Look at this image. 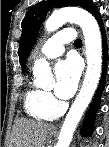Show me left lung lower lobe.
Returning a JSON list of instances; mask_svg holds the SVG:
<instances>
[{"label": "left lung lower lobe", "mask_w": 109, "mask_h": 147, "mask_svg": "<svg viewBox=\"0 0 109 147\" xmlns=\"http://www.w3.org/2000/svg\"><path fill=\"white\" fill-rule=\"evenodd\" d=\"M91 14L94 15V17L96 18V20L98 21L100 27H101V32H102V38H103V60H104V69H103V74L101 77V81L99 83V87L97 90V94L95 96V99L90 107V109L88 110L86 117H85V121L83 124V128L81 131V134L83 136H87L89 137L92 133V128H93V123H94V117H95V112L99 107L100 104V97H101V93L104 89V83H105V75H106V61H107V41H106V35H105V31L103 28V22L100 16V13L98 11V9L96 7H94L91 11Z\"/></svg>", "instance_id": "left-lung-lower-lobe-1"}]
</instances>
